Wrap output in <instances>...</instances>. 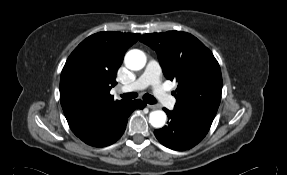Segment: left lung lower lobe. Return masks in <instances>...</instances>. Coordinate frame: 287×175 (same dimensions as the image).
Segmentation results:
<instances>
[{
    "mask_svg": "<svg viewBox=\"0 0 287 175\" xmlns=\"http://www.w3.org/2000/svg\"><path fill=\"white\" fill-rule=\"evenodd\" d=\"M168 115V125L154 131L156 138L164 146L184 151L197 145L207 133L200 131L182 115L164 108Z\"/></svg>",
    "mask_w": 287,
    "mask_h": 175,
    "instance_id": "0a47b994",
    "label": "left lung lower lobe"
}]
</instances>
